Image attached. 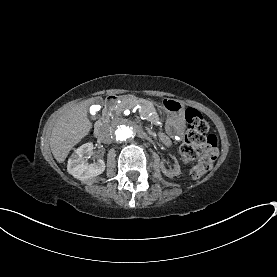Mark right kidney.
I'll list each match as a JSON object with an SVG mask.
<instances>
[{
	"instance_id": "obj_1",
	"label": "right kidney",
	"mask_w": 277,
	"mask_h": 277,
	"mask_svg": "<svg viewBox=\"0 0 277 277\" xmlns=\"http://www.w3.org/2000/svg\"><path fill=\"white\" fill-rule=\"evenodd\" d=\"M92 144L80 146L68 160L67 172L79 181L98 177L105 171L103 160L89 164L83 158L92 150Z\"/></svg>"
}]
</instances>
